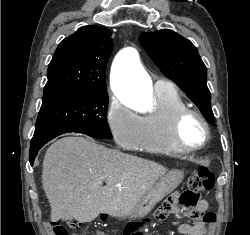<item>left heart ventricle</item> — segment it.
<instances>
[{
    "instance_id": "1",
    "label": "left heart ventricle",
    "mask_w": 250,
    "mask_h": 235,
    "mask_svg": "<svg viewBox=\"0 0 250 235\" xmlns=\"http://www.w3.org/2000/svg\"><path fill=\"white\" fill-rule=\"evenodd\" d=\"M181 138L190 146L199 145L204 138L201 122L194 116L187 118L181 127Z\"/></svg>"
}]
</instances>
